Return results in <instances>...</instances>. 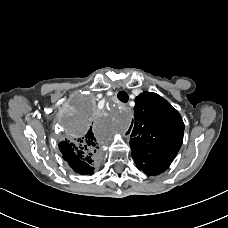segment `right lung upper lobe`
Listing matches in <instances>:
<instances>
[{"mask_svg":"<svg viewBox=\"0 0 228 228\" xmlns=\"http://www.w3.org/2000/svg\"><path fill=\"white\" fill-rule=\"evenodd\" d=\"M59 148L63 158L77 173H93L92 165L99 147L91 128L83 137L62 141Z\"/></svg>","mask_w":228,"mask_h":228,"instance_id":"obj_1","label":"right lung upper lobe"}]
</instances>
